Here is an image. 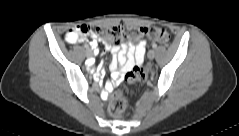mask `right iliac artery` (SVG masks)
I'll return each mask as SVG.
<instances>
[{
  "label": "right iliac artery",
  "mask_w": 239,
  "mask_h": 136,
  "mask_svg": "<svg viewBox=\"0 0 239 136\" xmlns=\"http://www.w3.org/2000/svg\"><path fill=\"white\" fill-rule=\"evenodd\" d=\"M89 49V46H84V50H88Z\"/></svg>",
  "instance_id": "right-iliac-artery-1"
}]
</instances>
